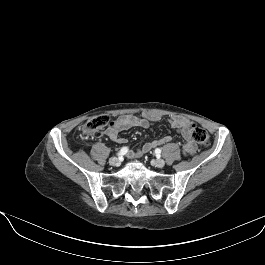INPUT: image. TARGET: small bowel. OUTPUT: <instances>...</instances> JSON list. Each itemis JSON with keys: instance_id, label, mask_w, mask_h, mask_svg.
<instances>
[{"instance_id": "c3829d8e", "label": "small bowel", "mask_w": 265, "mask_h": 265, "mask_svg": "<svg viewBox=\"0 0 265 265\" xmlns=\"http://www.w3.org/2000/svg\"><path fill=\"white\" fill-rule=\"evenodd\" d=\"M161 119L160 115L150 112L142 113L140 116L133 114H125L118 116L113 124L108 127L105 131V135L112 141L124 144L127 139L119 135L120 132L139 127L143 129H148L152 122H157ZM171 126L176 129L184 139L182 145V150L186 155H192L196 152L197 146L192 138V121L182 115H174L170 118ZM171 141L170 136H163L152 141L144 143L141 147L130 150L127 155L131 158H139L146 152L150 151L152 148L157 146L167 144Z\"/></svg>"}]
</instances>
